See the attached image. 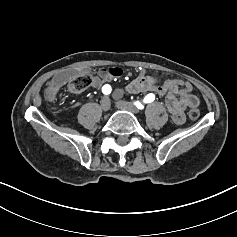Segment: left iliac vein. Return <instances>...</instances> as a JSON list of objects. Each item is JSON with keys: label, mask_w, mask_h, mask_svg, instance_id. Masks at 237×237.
I'll return each instance as SVG.
<instances>
[{"label": "left iliac vein", "mask_w": 237, "mask_h": 237, "mask_svg": "<svg viewBox=\"0 0 237 237\" xmlns=\"http://www.w3.org/2000/svg\"><path fill=\"white\" fill-rule=\"evenodd\" d=\"M116 106L120 110L129 111L133 114H137L139 112V110L135 106L131 105L126 101H117Z\"/></svg>", "instance_id": "1"}]
</instances>
